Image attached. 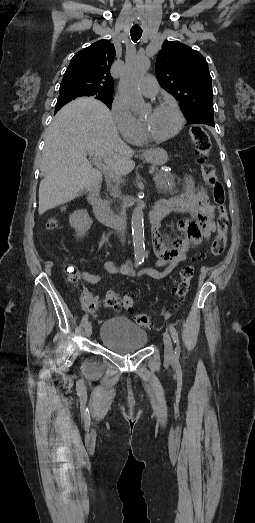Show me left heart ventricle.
Listing matches in <instances>:
<instances>
[{"mask_svg":"<svg viewBox=\"0 0 255 523\" xmlns=\"http://www.w3.org/2000/svg\"><path fill=\"white\" fill-rule=\"evenodd\" d=\"M140 118L147 133L155 137L172 133L178 125L177 114L170 106H163L156 110L151 108Z\"/></svg>","mask_w":255,"mask_h":523,"instance_id":"1","label":"left heart ventricle"}]
</instances>
